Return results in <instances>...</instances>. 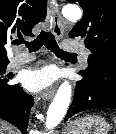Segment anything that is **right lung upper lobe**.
<instances>
[{
  "mask_svg": "<svg viewBox=\"0 0 116 134\" xmlns=\"http://www.w3.org/2000/svg\"><path fill=\"white\" fill-rule=\"evenodd\" d=\"M47 0H0V62H9L5 45L14 35H32L46 16Z\"/></svg>",
  "mask_w": 116,
  "mask_h": 134,
  "instance_id": "obj_1",
  "label": "right lung upper lobe"
}]
</instances>
